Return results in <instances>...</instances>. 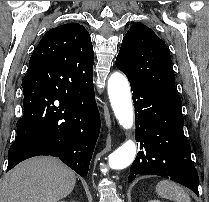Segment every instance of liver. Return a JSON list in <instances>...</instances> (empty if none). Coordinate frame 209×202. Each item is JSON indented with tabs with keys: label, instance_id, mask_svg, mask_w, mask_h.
I'll return each mask as SVG.
<instances>
[{
	"label": "liver",
	"instance_id": "obj_1",
	"mask_svg": "<svg viewBox=\"0 0 209 202\" xmlns=\"http://www.w3.org/2000/svg\"><path fill=\"white\" fill-rule=\"evenodd\" d=\"M75 184V173L60 160L32 158L5 175L0 202H57L67 197Z\"/></svg>",
	"mask_w": 209,
	"mask_h": 202
}]
</instances>
